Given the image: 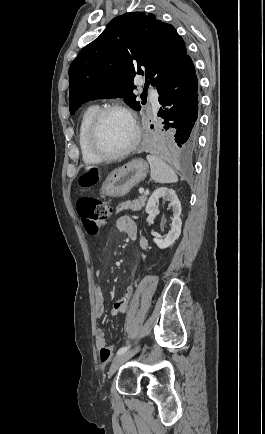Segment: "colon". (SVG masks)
I'll use <instances>...</instances> for the list:
<instances>
[{
    "mask_svg": "<svg viewBox=\"0 0 265 434\" xmlns=\"http://www.w3.org/2000/svg\"><path fill=\"white\" fill-rule=\"evenodd\" d=\"M81 177H86L83 182L84 188L90 187L91 179L89 177H98V168H81ZM109 203L102 198L83 197L75 202V210L82 221L83 228L89 237H96L105 222L110 217ZM99 361L102 364L110 362V357L116 354L113 348L107 344H102L101 350L97 352Z\"/></svg>",
    "mask_w": 265,
    "mask_h": 434,
    "instance_id": "5ec220e1",
    "label": "colon"
}]
</instances>
